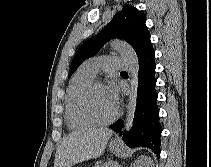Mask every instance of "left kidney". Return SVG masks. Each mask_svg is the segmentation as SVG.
Listing matches in <instances>:
<instances>
[{"instance_id":"left-kidney-1","label":"left kidney","mask_w":211,"mask_h":167,"mask_svg":"<svg viewBox=\"0 0 211 167\" xmlns=\"http://www.w3.org/2000/svg\"><path fill=\"white\" fill-rule=\"evenodd\" d=\"M131 167H154V164L150 157L141 156Z\"/></svg>"}]
</instances>
